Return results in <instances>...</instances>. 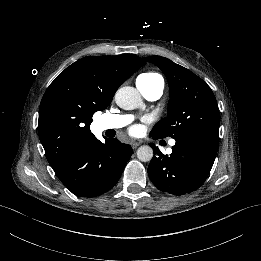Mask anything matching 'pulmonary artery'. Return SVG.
Listing matches in <instances>:
<instances>
[{
	"instance_id": "pulmonary-artery-1",
	"label": "pulmonary artery",
	"mask_w": 261,
	"mask_h": 261,
	"mask_svg": "<svg viewBox=\"0 0 261 261\" xmlns=\"http://www.w3.org/2000/svg\"><path fill=\"white\" fill-rule=\"evenodd\" d=\"M136 85L142 96L148 101H156L163 94V85L145 86L142 81L137 80ZM131 115H108L103 120V125L106 129H121L125 127L131 120ZM176 143L175 139L169 141L170 148Z\"/></svg>"
}]
</instances>
